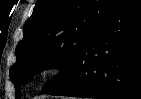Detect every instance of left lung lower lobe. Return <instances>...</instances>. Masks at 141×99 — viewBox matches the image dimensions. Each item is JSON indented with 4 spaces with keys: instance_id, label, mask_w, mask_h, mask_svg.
<instances>
[{
    "instance_id": "1",
    "label": "left lung lower lobe",
    "mask_w": 141,
    "mask_h": 99,
    "mask_svg": "<svg viewBox=\"0 0 141 99\" xmlns=\"http://www.w3.org/2000/svg\"><path fill=\"white\" fill-rule=\"evenodd\" d=\"M52 95L141 99V0H119Z\"/></svg>"
}]
</instances>
